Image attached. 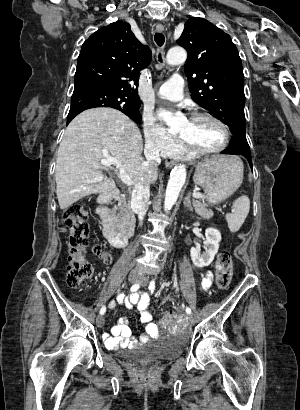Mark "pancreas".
I'll use <instances>...</instances> for the list:
<instances>
[{
    "mask_svg": "<svg viewBox=\"0 0 300 410\" xmlns=\"http://www.w3.org/2000/svg\"><path fill=\"white\" fill-rule=\"evenodd\" d=\"M195 211L204 219H210L213 216V212L207 209V204L198 200L194 201ZM119 214V230L124 234H129L134 226V215L130 210L129 204L122 202Z\"/></svg>",
    "mask_w": 300,
    "mask_h": 410,
    "instance_id": "1",
    "label": "pancreas"
}]
</instances>
